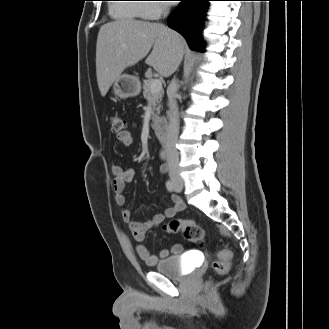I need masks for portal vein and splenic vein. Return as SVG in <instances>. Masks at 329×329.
I'll return each mask as SVG.
<instances>
[{
  "label": "portal vein and splenic vein",
  "mask_w": 329,
  "mask_h": 329,
  "mask_svg": "<svg viewBox=\"0 0 329 329\" xmlns=\"http://www.w3.org/2000/svg\"><path fill=\"white\" fill-rule=\"evenodd\" d=\"M162 89V82L160 79H153L151 82L150 90L152 93H157Z\"/></svg>",
  "instance_id": "18ae733b"
}]
</instances>
